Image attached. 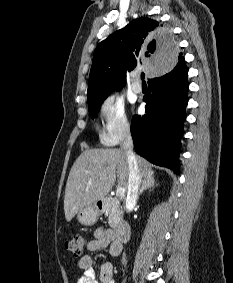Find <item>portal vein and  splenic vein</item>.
<instances>
[{"instance_id": "18ae733b", "label": "portal vein and splenic vein", "mask_w": 233, "mask_h": 283, "mask_svg": "<svg viewBox=\"0 0 233 283\" xmlns=\"http://www.w3.org/2000/svg\"><path fill=\"white\" fill-rule=\"evenodd\" d=\"M125 193V188L124 187H118L117 190H116V195L117 196H123Z\"/></svg>"}]
</instances>
